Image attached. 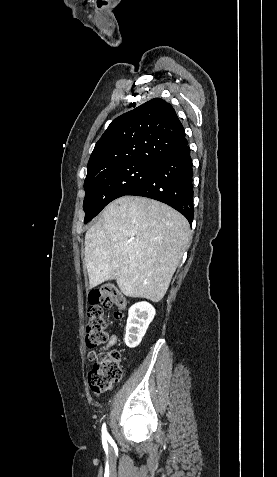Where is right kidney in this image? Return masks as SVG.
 <instances>
[{
  "instance_id": "1",
  "label": "right kidney",
  "mask_w": 277,
  "mask_h": 477,
  "mask_svg": "<svg viewBox=\"0 0 277 477\" xmlns=\"http://www.w3.org/2000/svg\"><path fill=\"white\" fill-rule=\"evenodd\" d=\"M155 314L154 307L147 302H138L130 307L124 338L128 347L135 348L141 343Z\"/></svg>"
}]
</instances>
